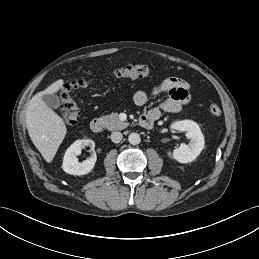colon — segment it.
<instances>
[{
    "instance_id": "5ec220e1",
    "label": "colon",
    "mask_w": 259,
    "mask_h": 259,
    "mask_svg": "<svg viewBox=\"0 0 259 259\" xmlns=\"http://www.w3.org/2000/svg\"><path fill=\"white\" fill-rule=\"evenodd\" d=\"M151 73V69L147 65H128L114 70L110 73L113 79H134L147 76ZM89 81L84 79L74 80L65 84L60 93V109L64 123L69 126H75L80 116V110L76 101L72 98L71 92L76 89L88 86ZM211 115L217 117L221 114V109L218 105L212 104L209 107Z\"/></svg>"
}]
</instances>
